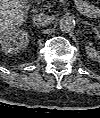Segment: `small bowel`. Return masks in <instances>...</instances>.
Returning <instances> with one entry per match:
<instances>
[{
	"label": "small bowel",
	"instance_id": "c3829d8e",
	"mask_svg": "<svg viewBox=\"0 0 100 118\" xmlns=\"http://www.w3.org/2000/svg\"><path fill=\"white\" fill-rule=\"evenodd\" d=\"M75 6L81 13L94 15L96 7L85 0H75Z\"/></svg>",
	"mask_w": 100,
	"mask_h": 118
}]
</instances>
